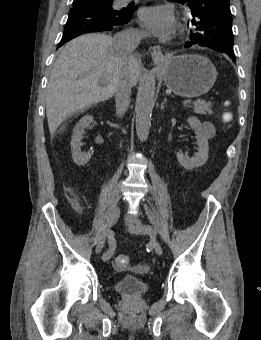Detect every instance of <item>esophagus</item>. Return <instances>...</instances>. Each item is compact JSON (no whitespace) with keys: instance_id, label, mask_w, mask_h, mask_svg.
<instances>
[{"instance_id":"esophagus-1","label":"esophagus","mask_w":261,"mask_h":340,"mask_svg":"<svg viewBox=\"0 0 261 340\" xmlns=\"http://www.w3.org/2000/svg\"><path fill=\"white\" fill-rule=\"evenodd\" d=\"M149 52L152 56V59L155 62H160L163 61L165 59L164 54L161 50V47L158 45H153L149 47Z\"/></svg>"}]
</instances>
